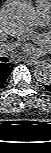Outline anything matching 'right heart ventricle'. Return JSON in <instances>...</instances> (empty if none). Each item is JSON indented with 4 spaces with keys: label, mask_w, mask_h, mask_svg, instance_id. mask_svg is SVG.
Instances as JSON below:
<instances>
[{
    "label": "right heart ventricle",
    "mask_w": 51,
    "mask_h": 153,
    "mask_svg": "<svg viewBox=\"0 0 51 153\" xmlns=\"http://www.w3.org/2000/svg\"><path fill=\"white\" fill-rule=\"evenodd\" d=\"M37 10L42 9L46 6H49L51 8L49 0H37L36 1Z\"/></svg>",
    "instance_id": "e07e8e85"
}]
</instances>
